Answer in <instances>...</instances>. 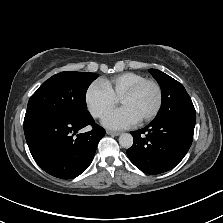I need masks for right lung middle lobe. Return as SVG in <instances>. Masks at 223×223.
Listing matches in <instances>:
<instances>
[{
	"mask_svg": "<svg viewBox=\"0 0 223 223\" xmlns=\"http://www.w3.org/2000/svg\"><path fill=\"white\" fill-rule=\"evenodd\" d=\"M97 77L95 73L68 71L53 75L29 99L24 123L45 118H90L86 91Z\"/></svg>",
	"mask_w": 223,
	"mask_h": 223,
	"instance_id": "dd1d6c3e",
	"label": "right lung middle lobe"
}]
</instances>
